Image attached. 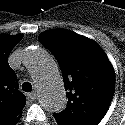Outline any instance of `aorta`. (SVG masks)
<instances>
[{
  "mask_svg": "<svg viewBox=\"0 0 125 125\" xmlns=\"http://www.w3.org/2000/svg\"><path fill=\"white\" fill-rule=\"evenodd\" d=\"M22 60L33 76L40 105L49 112L63 111L66 92L54 60L40 48L26 50Z\"/></svg>",
  "mask_w": 125,
  "mask_h": 125,
  "instance_id": "1",
  "label": "aorta"
}]
</instances>
